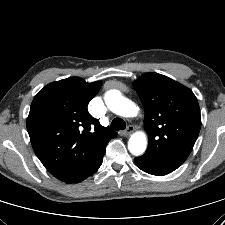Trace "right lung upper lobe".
<instances>
[{"instance_id":"cb5924a9","label":"right lung upper lobe","mask_w":225,"mask_h":225,"mask_svg":"<svg viewBox=\"0 0 225 225\" xmlns=\"http://www.w3.org/2000/svg\"><path fill=\"white\" fill-rule=\"evenodd\" d=\"M101 81L70 77L46 85L33 99L27 131L35 154L61 181L90 170L100 149L116 136L87 111Z\"/></svg>"}]
</instances>
